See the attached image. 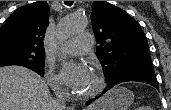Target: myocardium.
Listing matches in <instances>:
<instances>
[{"instance_id": "obj_1", "label": "myocardium", "mask_w": 171, "mask_h": 110, "mask_svg": "<svg viewBox=\"0 0 171 110\" xmlns=\"http://www.w3.org/2000/svg\"><path fill=\"white\" fill-rule=\"evenodd\" d=\"M93 73L96 77L95 88L86 94H75L76 99L81 100V101L90 100V99L97 97L103 91L105 87V78L103 74L98 70H93Z\"/></svg>"}]
</instances>
